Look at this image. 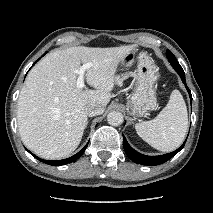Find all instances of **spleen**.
I'll return each mask as SVG.
<instances>
[{"instance_id":"obj_1","label":"spleen","mask_w":213,"mask_h":213,"mask_svg":"<svg viewBox=\"0 0 213 213\" xmlns=\"http://www.w3.org/2000/svg\"><path fill=\"white\" fill-rule=\"evenodd\" d=\"M135 128L137 134L157 150L169 152L178 148L188 128L187 108L181 93L172 91L160 113L153 120L137 123Z\"/></svg>"}]
</instances>
